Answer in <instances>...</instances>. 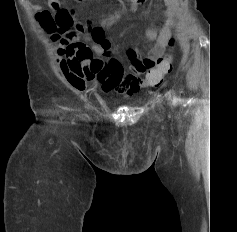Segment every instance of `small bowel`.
I'll return each mask as SVG.
<instances>
[{"mask_svg":"<svg viewBox=\"0 0 237 232\" xmlns=\"http://www.w3.org/2000/svg\"><path fill=\"white\" fill-rule=\"evenodd\" d=\"M162 1L167 6L163 24L146 33L145 56L129 49L130 66L127 73H124L121 63L112 55L104 31L96 28L87 37L88 42L79 41L75 37L57 48V63L66 80L78 90H84L90 84L93 89L100 87L104 92L114 91L125 96L140 91L146 84L143 74L154 69L164 53L178 10L179 0ZM113 21V17L105 19L106 24Z\"/></svg>","mask_w":237,"mask_h":232,"instance_id":"obj_1","label":"small bowel"}]
</instances>
